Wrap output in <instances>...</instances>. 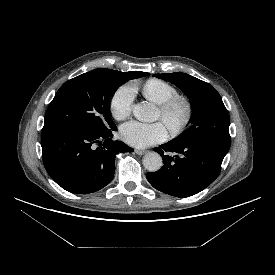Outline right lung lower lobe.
I'll use <instances>...</instances> for the list:
<instances>
[{"label":"right lung lower lobe","mask_w":275,"mask_h":275,"mask_svg":"<svg viewBox=\"0 0 275 275\" xmlns=\"http://www.w3.org/2000/svg\"><path fill=\"white\" fill-rule=\"evenodd\" d=\"M116 130V126L92 131L70 124L44 125L41 146L50 177L71 193L88 194L105 187L114 177L116 155L133 151L112 140Z\"/></svg>","instance_id":"98d812e1"}]
</instances>
